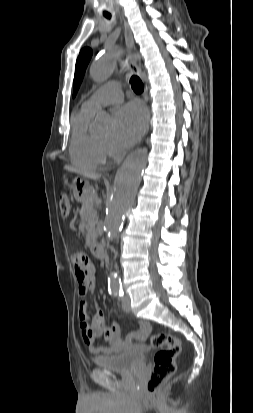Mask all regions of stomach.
Instances as JSON below:
<instances>
[{
    "label": "stomach",
    "instance_id": "1",
    "mask_svg": "<svg viewBox=\"0 0 253 413\" xmlns=\"http://www.w3.org/2000/svg\"><path fill=\"white\" fill-rule=\"evenodd\" d=\"M72 194L78 202H84L90 195V186L87 181L81 177H76L72 184Z\"/></svg>",
    "mask_w": 253,
    "mask_h": 413
}]
</instances>
